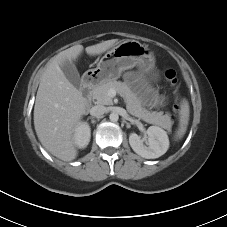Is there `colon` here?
<instances>
[{
    "mask_svg": "<svg viewBox=\"0 0 227 227\" xmlns=\"http://www.w3.org/2000/svg\"><path fill=\"white\" fill-rule=\"evenodd\" d=\"M165 78L166 80L172 85V86H177L178 84V76L177 72L173 69H168L165 72ZM181 112V104L179 99L176 100V103L174 105V118L176 119Z\"/></svg>",
    "mask_w": 227,
    "mask_h": 227,
    "instance_id": "colon-1",
    "label": "colon"
}]
</instances>
